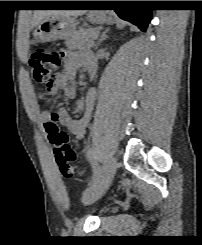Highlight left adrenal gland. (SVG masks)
<instances>
[{"label":"left adrenal gland","instance_id":"left-adrenal-gland-1","mask_svg":"<svg viewBox=\"0 0 202 245\" xmlns=\"http://www.w3.org/2000/svg\"><path fill=\"white\" fill-rule=\"evenodd\" d=\"M107 32H108V29H106V30L101 34L100 39L98 40V43H97V45H96V48H98V47L101 45V43H102L105 39L108 38Z\"/></svg>","mask_w":202,"mask_h":245}]
</instances>
